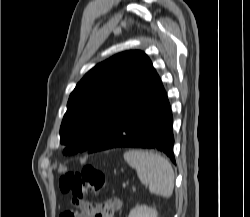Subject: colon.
<instances>
[{"label": "colon", "instance_id": "obj_1", "mask_svg": "<svg viewBox=\"0 0 250 217\" xmlns=\"http://www.w3.org/2000/svg\"><path fill=\"white\" fill-rule=\"evenodd\" d=\"M60 189L76 198L86 194H96L106 186V177L102 171L92 165L84 166L80 171L68 172L60 177ZM74 209L61 213L60 217H69L77 212L86 217H100L101 205L87 201H74Z\"/></svg>", "mask_w": 250, "mask_h": 217}]
</instances>
